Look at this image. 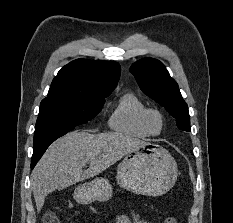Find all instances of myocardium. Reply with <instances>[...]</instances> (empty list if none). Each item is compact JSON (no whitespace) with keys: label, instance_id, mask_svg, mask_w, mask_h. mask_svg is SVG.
Returning <instances> with one entry per match:
<instances>
[{"label":"myocardium","instance_id":"myocardium-1","mask_svg":"<svg viewBox=\"0 0 233 223\" xmlns=\"http://www.w3.org/2000/svg\"><path fill=\"white\" fill-rule=\"evenodd\" d=\"M153 114H158L163 122V129L159 133H154L150 128V117ZM142 125L146 133L150 136H160L164 133L166 129V116L164 112L158 108H146L142 114Z\"/></svg>","mask_w":233,"mask_h":223}]
</instances>
